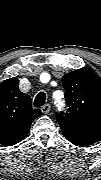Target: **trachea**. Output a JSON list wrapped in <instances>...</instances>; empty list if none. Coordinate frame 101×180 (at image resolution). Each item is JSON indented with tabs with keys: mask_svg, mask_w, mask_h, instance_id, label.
<instances>
[{
	"mask_svg": "<svg viewBox=\"0 0 101 180\" xmlns=\"http://www.w3.org/2000/svg\"><path fill=\"white\" fill-rule=\"evenodd\" d=\"M46 100V94L44 92L38 93L34 100V107H41L44 105Z\"/></svg>",
	"mask_w": 101,
	"mask_h": 180,
	"instance_id": "obj_1",
	"label": "trachea"
}]
</instances>
